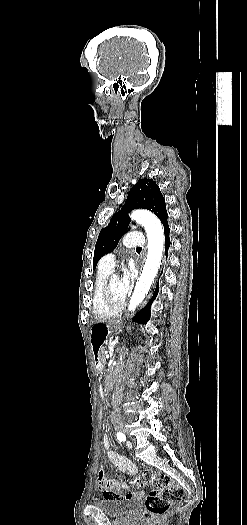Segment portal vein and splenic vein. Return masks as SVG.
<instances>
[{
  "mask_svg": "<svg viewBox=\"0 0 247 525\" xmlns=\"http://www.w3.org/2000/svg\"><path fill=\"white\" fill-rule=\"evenodd\" d=\"M106 358H110V355H109V353H106Z\"/></svg>",
  "mask_w": 247,
  "mask_h": 525,
  "instance_id": "18ae733b",
  "label": "portal vein and splenic vein"
}]
</instances>
